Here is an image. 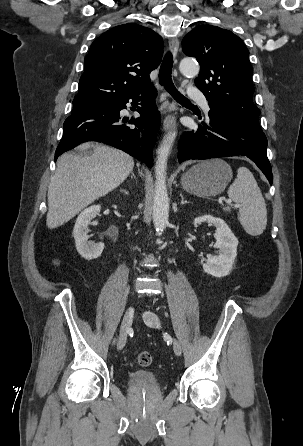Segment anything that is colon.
Segmentation results:
<instances>
[{"label": "colon", "instance_id": "5ec220e1", "mask_svg": "<svg viewBox=\"0 0 303 446\" xmlns=\"http://www.w3.org/2000/svg\"><path fill=\"white\" fill-rule=\"evenodd\" d=\"M136 362L143 367L149 366L152 362V356L148 351H138L136 353Z\"/></svg>", "mask_w": 303, "mask_h": 446}]
</instances>
